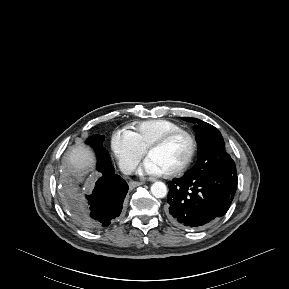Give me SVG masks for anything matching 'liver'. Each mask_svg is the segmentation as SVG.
I'll use <instances>...</instances> for the list:
<instances>
[{
  "mask_svg": "<svg viewBox=\"0 0 289 289\" xmlns=\"http://www.w3.org/2000/svg\"><path fill=\"white\" fill-rule=\"evenodd\" d=\"M69 163L76 172H83L92 168L95 160L89 149L77 146L69 154Z\"/></svg>",
  "mask_w": 289,
  "mask_h": 289,
  "instance_id": "6515ba94",
  "label": "liver"
}]
</instances>
